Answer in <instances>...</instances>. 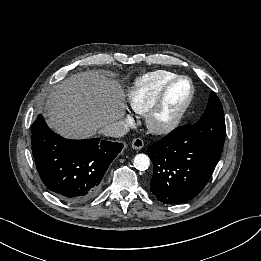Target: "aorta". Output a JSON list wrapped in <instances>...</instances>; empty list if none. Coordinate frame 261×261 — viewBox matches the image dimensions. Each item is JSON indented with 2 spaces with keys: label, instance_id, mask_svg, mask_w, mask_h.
Returning <instances> with one entry per match:
<instances>
[{
  "label": "aorta",
  "instance_id": "aorta-1",
  "mask_svg": "<svg viewBox=\"0 0 261 261\" xmlns=\"http://www.w3.org/2000/svg\"><path fill=\"white\" fill-rule=\"evenodd\" d=\"M134 166L140 171L147 170L150 166V159L145 154H137L134 158Z\"/></svg>",
  "mask_w": 261,
  "mask_h": 261
}]
</instances>
